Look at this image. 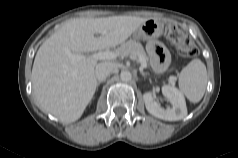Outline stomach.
<instances>
[{
	"label": "stomach",
	"mask_w": 238,
	"mask_h": 158,
	"mask_svg": "<svg viewBox=\"0 0 238 158\" xmlns=\"http://www.w3.org/2000/svg\"><path fill=\"white\" fill-rule=\"evenodd\" d=\"M163 25L155 19H147L134 32L137 39L151 40L160 37L163 34Z\"/></svg>",
	"instance_id": "stomach-1"
}]
</instances>
